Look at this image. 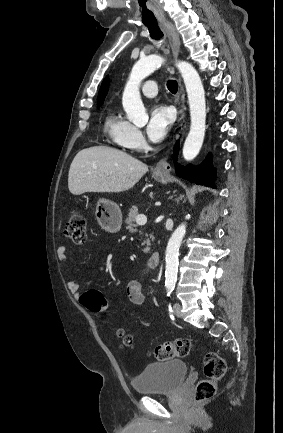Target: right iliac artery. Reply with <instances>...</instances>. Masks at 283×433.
Masks as SVG:
<instances>
[{
	"label": "right iliac artery",
	"instance_id": "obj_1",
	"mask_svg": "<svg viewBox=\"0 0 283 433\" xmlns=\"http://www.w3.org/2000/svg\"><path fill=\"white\" fill-rule=\"evenodd\" d=\"M173 290V288H171V287H168V293H167V296H169L170 295V293H171V291Z\"/></svg>",
	"mask_w": 283,
	"mask_h": 433
}]
</instances>
